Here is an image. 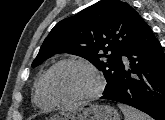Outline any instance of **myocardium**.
Instances as JSON below:
<instances>
[{
  "instance_id": "myocardium-1",
  "label": "myocardium",
  "mask_w": 165,
  "mask_h": 120,
  "mask_svg": "<svg viewBox=\"0 0 165 120\" xmlns=\"http://www.w3.org/2000/svg\"><path fill=\"white\" fill-rule=\"evenodd\" d=\"M67 64H77V65H81V66L87 68L94 75V77L96 79L95 88L91 92H89L85 95L75 97L72 99H62V98H59L58 96H56L50 86L51 76L57 68H59L60 66H63V65H67ZM44 86H45V90H46L47 94L53 100V102L55 104H75V103L91 101V100L99 97L102 94V92L104 91L105 81H104L103 76L99 72V70L92 63H90L87 60L81 59V58L70 57V58H65V59H61V60L57 61L47 70V72L45 73V77H44Z\"/></svg>"
}]
</instances>
